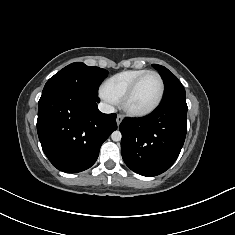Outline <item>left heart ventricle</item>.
I'll list each match as a JSON object with an SVG mask.
<instances>
[{"instance_id":"left-heart-ventricle-1","label":"left heart ventricle","mask_w":235,"mask_h":235,"mask_svg":"<svg viewBox=\"0 0 235 235\" xmlns=\"http://www.w3.org/2000/svg\"><path fill=\"white\" fill-rule=\"evenodd\" d=\"M159 92V79L157 76L149 74L138 84L128 101V105L133 109H146L157 100Z\"/></svg>"}]
</instances>
